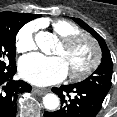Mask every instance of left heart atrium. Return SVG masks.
<instances>
[{
    "mask_svg": "<svg viewBox=\"0 0 117 117\" xmlns=\"http://www.w3.org/2000/svg\"><path fill=\"white\" fill-rule=\"evenodd\" d=\"M19 71L25 80L38 86L58 83L68 73L61 57H47L37 53L23 57L19 63Z\"/></svg>",
    "mask_w": 117,
    "mask_h": 117,
    "instance_id": "left-heart-atrium-1",
    "label": "left heart atrium"
}]
</instances>
